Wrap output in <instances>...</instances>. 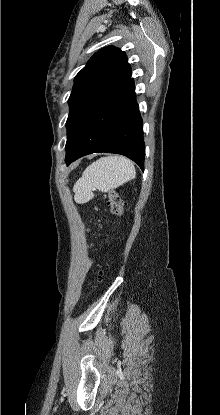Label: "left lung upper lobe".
<instances>
[{
  "label": "left lung upper lobe",
  "mask_w": 220,
  "mask_h": 415,
  "mask_svg": "<svg viewBox=\"0 0 220 415\" xmlns=\"http://www.w3.org/2000/svg\"><path fill=\"white\" fill-rule=\"evenodd\" d=\"M124 77H131V67L126 54L114 46L96 52L76 75L68 100L70 112L66 122V150L91 105L107 86Z\"/></svg>",
  "instance_id": "5c2ea615"
}]
</instances>
